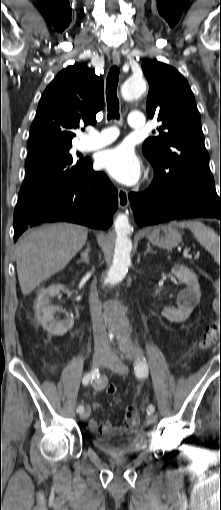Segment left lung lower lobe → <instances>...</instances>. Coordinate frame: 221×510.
<instances>
[{
	"label": "left lung lower lobe",
	"mask_w": 221,
	"mask_h": 510,
	"mask_svg": "<svg viewBox=\"0 0 221 510\" xmlns=\"http://www.w3.org/2000/svg\"><path fill=\"white\" fill-rule=\"evenodd\" d=\"M129 200L139 226L180 218H218L221 223V191L196 186L162 189L155 180L144 192H131Z\"/></svg>",
	"instance_id": "obj_1"
}]
</instances>
